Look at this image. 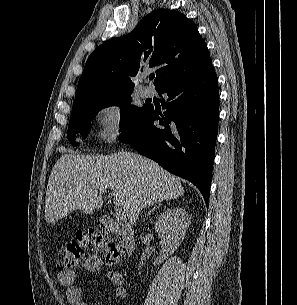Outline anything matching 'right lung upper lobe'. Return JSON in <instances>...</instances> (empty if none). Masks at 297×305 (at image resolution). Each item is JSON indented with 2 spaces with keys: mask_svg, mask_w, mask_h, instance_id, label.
<instances>
[{
  "mask_svg": "<svg viewBox=\"0 0 297 305\" xmlns=\"http://www.w3.org/2000/svg\"><path fill=\"white\" fill-rule=\"evenodd\" d=\"M212 66L197 27L180 12L158 9L128 35L97 47L87 59L74 103L134 89L145 67L156 68L155 88L194 77Z\"/></svg>",
  "mask_w": 297,
  "mask_h": 305,
  "instance_id": "right-lung-upper-lobe-1",
  "label": "right lung upper lobe"
}]
</instances>
